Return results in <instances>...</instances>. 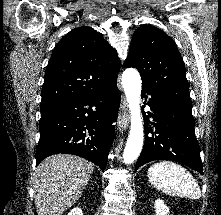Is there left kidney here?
I'll list each match as a JSON object with an SVG mask.
<instances>
[{
	"mask_svg": "<svg viewBox=\"0 0 221 215\" xmlns=\"http://www.w3.org/2000/svg\"><path fill=\"white\" fill-rule=\"evenodd\" d=\"M156 209V215H169V209L168 207L164 204V201L161 199H157L155 201L154 205Z\"/></svg>",
	"mask_w": 221,
	"mask_h": 215,
	"instance_id": "left-kidney-1",
	"label": "left kidney"
}]
</instances>
